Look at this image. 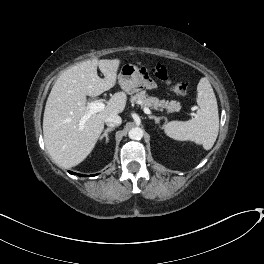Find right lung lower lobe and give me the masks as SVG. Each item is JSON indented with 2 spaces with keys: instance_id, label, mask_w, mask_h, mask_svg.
<instances>
[{
  "instance_id": "1",
  "label": "right lung lower lobe",
  "mask_w": 264,
  "mask_h": 264,
  "mask_svg": "<svg viewBox=\"0 0 264 264\" xmlns=\"http://www.w3.org/2000/svg\"><path fill=\"white\" fill-rule=\"evenodd\" d=\"M70 174H75V173H72V172H69ZM91 176H94V175H91Z\"/></svg>"
}]
</instances>
